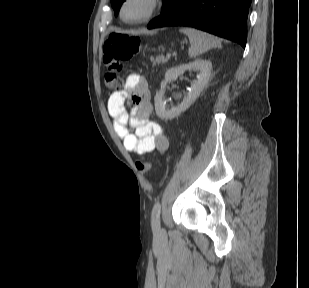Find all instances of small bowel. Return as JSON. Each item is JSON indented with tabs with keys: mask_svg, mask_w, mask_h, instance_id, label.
I'll use <instances>...</instances> for the list:
<instances>
[{
	"mask_svg": "<svg viewBox=\"0 0 309 288\" xmlns=\"http://www.w3.org/2000/svg\"><path fill=\"white\" fill-rule=\"evenodd\" d=\"M107 108L126 151L147 154L154 150H168L169 141L161 126L150 118L153 108L143 77L130 74L124 88L110 94Z\"/></svg>",
	"mask_w": 309,
	"mask_h": 288,
	"instance_id": "obj_1",
	"label": "small bowel"
}]
</instances>
